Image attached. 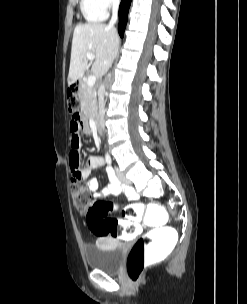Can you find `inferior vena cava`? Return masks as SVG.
<instances>
[{
  "mask_svg": "<svg viewBox=\"0 0 247 304\" xmlns=\"http://www.w3.org/2000/svg\"><path fill=\"white\" fill-rule=\"evenodd\" d=\"M119 3H120V0H113L112 17L109 22L110 27H112L118 21ZM104 93H105V87L102 84L98 90L99 123H100L102 129H104V107H105Z\"/></svg>",
  "mask_w": 247,
  "mask_h": 304,
  "instance_id": "1",
  "label": "inferior vena cava"
}]
</instances>
